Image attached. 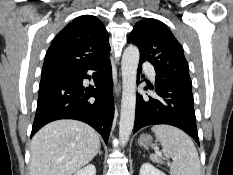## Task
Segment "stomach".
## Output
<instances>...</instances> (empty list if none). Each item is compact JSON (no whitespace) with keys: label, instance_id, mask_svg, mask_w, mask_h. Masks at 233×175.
<instances>
[{"label":"stomach","instance_id":"0dacf381","mask_svg":"<svg viewBox=\"0 0 233 175\" xmlns=\"http://www.w3.org/2000/svg\"><path fill=\"white\" fill-rule=\"evenodd\" d=\"M151 143H152V137L151 136H149V135L141 136V138H140V144L141 145L147 146V145H149Z\"/></svg>","mask_w":233,"mask_h":175}]
</instances>
